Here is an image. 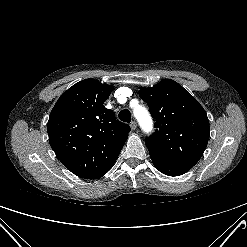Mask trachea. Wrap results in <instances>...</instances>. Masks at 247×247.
I'll use <instances>...</instances> for the list:
<instances>
[{"instance_id":"3493384b","label":"trachea","mask_w":247,"mask_h":247,"mask_svg":"<svg viewBox=\"0 0 247 247\" xmlns=\"http://www.w3.org/2000/svg\"><path fill=\"white\" fill-rule=\"evenodd\" d=\"M118 117L121 121L130 123L131 121V113L127 109H123L119 112Z\"/></svg>"}]
</instances>
